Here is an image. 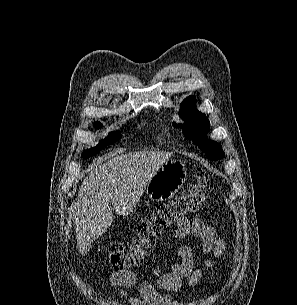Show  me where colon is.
<instances>
[{
	"instance_id": "colon-1",
	"label": "colon",
	"mask_w": 297,
	"mask_h": 305,
	"mask_svg": "<svg viewBox=\"0 0 297 305\" xmlns=\"http://www.w3.org/2000/svg\"><path fill=\"white\" fill-rule=\"evenodd\" d=\"M209 192V180L202 172H198L188 189L178 198L158 205L151 215L141 221L131 244L126 245L119 240L110 244L108 256L111 268L124 271L138 266L166 229L200 211Z\"/></svg>"
}]
</instances>
